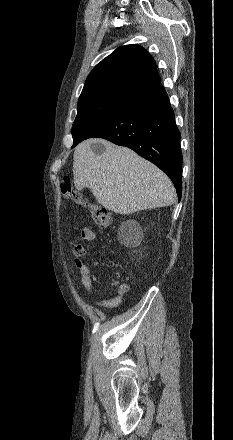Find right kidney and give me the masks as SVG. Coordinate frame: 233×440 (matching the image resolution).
Returning a JSON list of instances; mask_svg holds the SVG:
<instances>
[{
  "mask_svg": "<svg viewBox=\"0 0 233 440\" xmlns=\"http://www.w3.org/2000/svg\"><path fill=\"white\" fill-rule=\"evenodd\" d=\"M143 234L141 227L134 221L124 222L118 231V239L125 246L136 247L140 244Z\"/></svg>",
  "mask_w": 233,
  "mask_h": 440,
  "instance_id": "right-kidney-1",
  "label": "right kidney"
}]
</instances>
